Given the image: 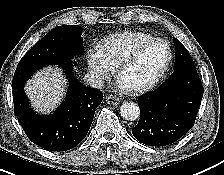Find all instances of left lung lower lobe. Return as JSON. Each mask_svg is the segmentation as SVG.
<instances>
[{
    "instance_id": "obj_1",
    "label": "left lung lower lobe",
    "mask_w": 224,
    "mask_h": 175,
    "mask_svg": "<svg viewBox=\"0 0 224 175\" xmlns=\"http://www.w3.org/2000/svg\"><path fill=\"white\" fill-rule=\"evenodd\" d=\"M203 97V86L194 65L174 69L156 90L138 98L141 116L132 129L148 146L170 145L194 125Z\"/></svg>"
}]
</instances>
